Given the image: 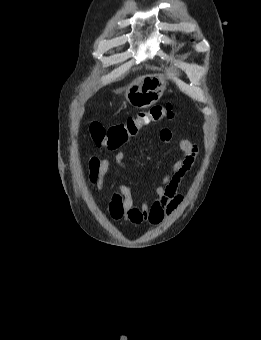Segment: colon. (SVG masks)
<instances>
[{
    "label": "colon",
    "mask_w": 261,
    "mask_h": 340,
    "mask_svg": "<svg viewBox=\"0 0 261 340\" xmlns=\"http://www.w3.org/2000/svg\"><path fill=\"white\" fill-rule=\"evenodd\" d=\"M174 110L171 103L157 104L148 111L138 112L130 116L124 122L105 127L99 122H91L89 131L92 140L97 146H106L108 149H116L129 139L137 136L142 128L164 120H171Z\"/></svg>",
    "instance_id": "obj_1"
}]
</instances>
